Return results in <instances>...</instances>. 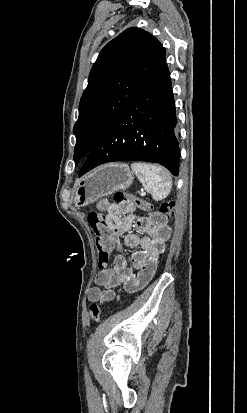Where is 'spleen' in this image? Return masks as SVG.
<instances>
[{
	"mask_svg": "<svg viewBox=\"0 0 247 413\" xmlns=\"http://www.w3.org/2000/svg\"><path fill=\"white\" fill-rule=\"evenodd\" d=\"M143 164L144 162H133L131 168L142 182L145 190L151 192L154 200L166 198L172 188V180L168 170L163 166L147 170Z\"/></svg>",
	"mask_w": 247,
	"mask_h": 413,
	"instance_id": "spleen-1",
	"label": "spleen"
}]
</instances>
